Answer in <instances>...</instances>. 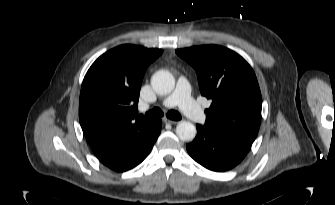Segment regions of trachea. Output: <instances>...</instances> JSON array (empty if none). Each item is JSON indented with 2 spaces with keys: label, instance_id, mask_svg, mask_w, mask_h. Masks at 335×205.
Wrapping results in <instances>:
<instances>
[{
  "label": "trachea",
  "instance_id": "3493384b",
  "mask_svg": "<svg viewBox=\"0 0 335 205\" xmlns=\"http://www.w3.org/2000/svg\"><path fill=\"white\" fill-rule=\"evenodd\" d=\"M146 116H149V117H161L163 116V112L160 108H154L150 111H148L146 113ZM166 116L171 119V120H175V121H178L181 119V115L179 112L175 111V110H170L168 111V113L166 114Z\"/></svg>",
  "mask_w": 335,
  "mask_h": 205
}]
</instances>
